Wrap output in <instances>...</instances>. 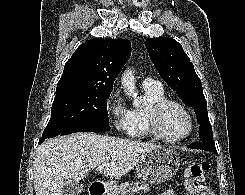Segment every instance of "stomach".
I'll return each instance as SVG.
<instances>
[{"label": "stomach", "instance_id": "1", "mask_svg": "<svg viewBox=\"0 0 245 195\" xmlns=\"http://www.w3.org/2000/svg\"><path fill=\"white\" fill-rule=\"evenodd\" d=\"M180 167V159L172 148L160 147L143 154L137 162L136 174L150 183H163Z\"/></svg>", "mask_w": 245, "mask_h": 195}]
</instances>
